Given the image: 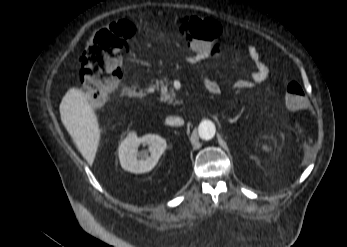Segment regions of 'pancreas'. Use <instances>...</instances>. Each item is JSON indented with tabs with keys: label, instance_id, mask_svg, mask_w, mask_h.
<instances>
[{
	"label": "pancreas",
	"instance_id": "cf45deb5",
	"mask_svg": "<svg viewBox=\"0 0 347 247\" xmlns=\"http://www.w3.org/2000/svg\"><path fill=\"white\" fill-rule=\"evenodd\" d=\"M154 87L161 91L160 100L163 102H168L169 104L180 105L182 101L176 100V94L173 88H168L167 79L156 81Z\"/></svg>",
	"mask_w": 347,
	"mask_h": 247
}]
</instances>
